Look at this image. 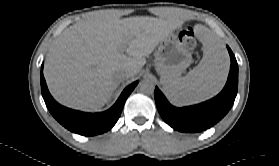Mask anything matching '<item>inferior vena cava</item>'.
Masks as SVG:
<instances>
[{"label":"inferior vena cava","mask_w":279,"mask_h":166,"mask_svg":"<svg viewBox=\"0 0 279 166\" xmlns=\"http://www.w3.org/2000/svg\"><path fill=\"white\" fill-rule=\"evenodd\" d=\"M133 74V70L131 68H121L119 69L116 74H115V78L118 81H124L125 79L129 78L131 75Z\"/></svg>","instance_id":"1"}]
</instances>
